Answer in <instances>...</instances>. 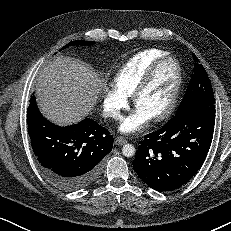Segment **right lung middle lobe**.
Returning a JSON list of instances; mask_svg holds the SVG:
<instances>
[{
    "label": "right lung middle lobe",
    "instance_id": "right-lung-middle-lobe-1",
    "mask_svg": "<svg viewBox=\"0 0 231 231\" xmlns=\"http://www.w3.org/2000/svg\"><path fill=\"white\" fill-rule=\"evenodd\" d=\"M93 43H94L93 41H79V40H76V41H72V42H70L69 44L63 46V47L60 49V51L63 50V49H65V48H67V47L70 46V45H91V44H93Z\"/></svg>",
    "mask_w": 231,
    "mask_h": 231
}]
</instances>
